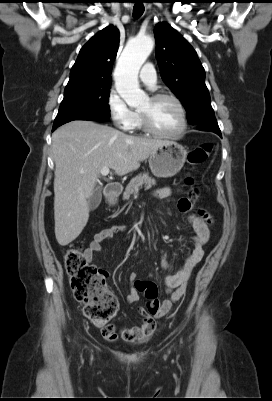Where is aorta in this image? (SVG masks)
<instances>
[{
  "instance_id": "1",
  "label": "aorta",
  "mask_w": 272,
  "mask_h": 401,
  "mask_svg": "<svg viewBox=\"0 0 272 401\" xmlns=\"http://www.w3.org/2000/svg\"><path fill=\"white\" fill-rule=\"evenodd\" d=\"M154 47L150 36L137 37L130 41L118 60L114 71L116 90L131 107H137L147 99L140 89L138 73Z\"/></svg>"
}]
</instances>
